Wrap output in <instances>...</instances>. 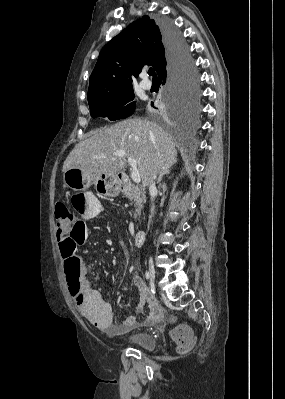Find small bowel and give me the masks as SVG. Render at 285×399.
<instances>
[{
	"label": "small bowel",
	"mask_w": 285,
	"mask_h": 399,
	"mask_svg": "<svg viewBox=\"0 0 285 399\" xmlns=\"http://www.w3.org/2000/svg\"><path fill=\"white\" fill-rule=\"evenodd\" d=\"M102 212L101 202L91 193L85 207L81 211L82 221H79L87 231L86 220L97 217ZM61 239V237H59ZM59 239V240H60ZM69 268L78 276V290L76 294L70 292L74 303L78 306L80 313L93 325L105 329L113 334L121 335L131 332L138 327H148L160 322L163 318V310L156 303L144 280L139 274L134 275L133 282L139 292V303L137 311L142 313L145 306L148 308L146 315H128L121 322H115L114 313L110 304L103 298L100 291L94 289L88 282V268L81 258L71 261ZM68 284V283H67ZM69 289V286H68ZM80 296L82 299L80 300Z\"/></svg>",
	"instance_id": "obj_1"
}]
</instances>
